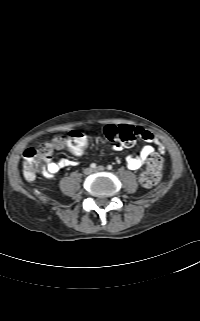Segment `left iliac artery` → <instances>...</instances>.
I'll return each instance as SVG.
<instances>
[{
  "label": "left iliac artery",
  "mask_w": 200,
  "mask_h": 321,
  "mask_svg": "<svg viewBox=\"0 0 200 321\" xmlns=\"http://www.w3.org/2000/svg\"><path fill=\"white\" fill-rule=\"evenodd\" d=\"M107 169H108V170H111V169H112V166H111V165H108V166H107Z\"/></svg>",
  "instance_id": "left-iliac-artery-1"
}]
</instances>
